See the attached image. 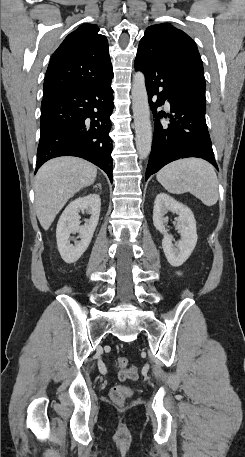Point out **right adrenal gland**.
<instances>
[{"mask_svg":"<svg viewBox=\"0 0 245 457\" xmlns=\"http://www.w3.org/2000/svg\"><path fill=\"white\" fill-rule=\"evenodd\" d=\"M93 188H101L100 182H99V184H95V186H93Z\"/></svg>","mask_w":245,"mask_h":457,"instance_id":"1","label":"right adrenal gland"}]
</instances>
